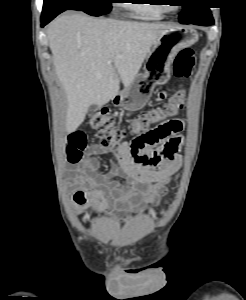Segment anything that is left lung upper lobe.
Wrapping results in <instances>:
<instances>
[{
    "label": "left lung upper lobe",
    "mask_w": 246,
    "mask_h": 300,
    "mask_svg": "<svg viewBox=\"0 0 246 300\" xmlns=\"http://www.w3.org/2000/svg\"><path fill=\"white\" fill-rule=\"evenodd\" d=\"M186 5L183 6V10L179 15L180 23H191L201 18L211 15L209 7L202 4V0H184Z\"/></svg>",
    "instance_id": "1"
}]
</instances>
